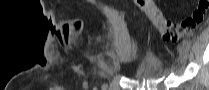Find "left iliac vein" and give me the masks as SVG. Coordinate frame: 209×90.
I'll return each instance as SVG.
<instances>
[{
  "label": "left iliac vein",
  "instance_id": "obj_1",
  "mask_svg": "<svg viewBox=\"0 0 209 90\" xmlns=\"http://www.w3.org/2000/svg\"><path fill=\"white\" fill-rule=\"evenodd\" d=\"M178 50L180 59L182 60V62H186L188 57V49L185 47V45L181 44L179 45Z\"/></svg>",
  "mask_w": 209,
  "mask_h": 90
}]
</instances>
